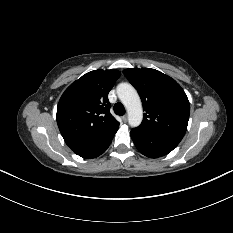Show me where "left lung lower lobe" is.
I'll list each match as a JSON object with an SVG mask.
<instances>
[{
    "instance_id": "left-lung-lower-lobe-1",
    "label": "left lung lower lobe",
    "mask_w": 233,
    "mask_h": 233,
    "mask_svg": "<svg viewBox=\"0 0 233 233\" xmlns=\"http://www.w3.org/2000/svg\"><path fill=\"white\" fill-rule=\"evenodd\" d=\"M131 138L136 148L145 156L158 158L171 152L181 140L160 134L132 129Z\"/></svg>"
}]
</instances>
